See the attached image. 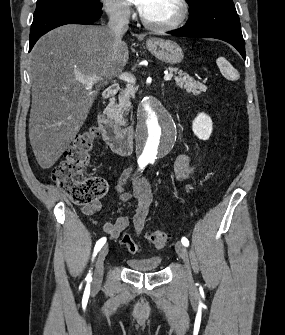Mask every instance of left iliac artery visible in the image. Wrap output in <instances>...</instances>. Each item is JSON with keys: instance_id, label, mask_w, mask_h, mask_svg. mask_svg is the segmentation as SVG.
<instances>
[{"instance_id": "1", "label": "left iliac artery", "mask_w": 285, "mask_h": 335, "mask_svg": "<svg viewBox=\"0 0 285 335\" xmlns=\"http://www.w3.org/2000/svg\"><path fill=\"white\" fill-rule=\"evenodd\" d=\"M153 162H154L153 160L150 161V163H153ZM181 242H182V244H183L184 246L188 247V245H189V241H188L187 238L183 237V238L181 239Z\"/></svg>"}]
</instances>
